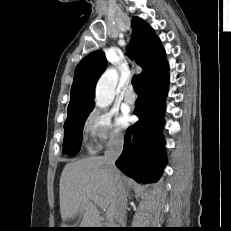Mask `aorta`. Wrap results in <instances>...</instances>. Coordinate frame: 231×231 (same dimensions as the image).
<instances>
[{
	"instance_id": "obj_1",
	"label": "aorta",
	"mask_w": 231,
	"mask_h": 231,
	"mask_svg": "<svg viewBox=\"0 0 231 231\" xmlns=\"http://www.w3.org/2000/svg\"><path fill=\"white\" fill-rule=\"evenodd\" d=\"M118 82V72L110 68L100 77L95 89V102L100 108L108 107L114 100L115 88Z\"/></svg>"
}]
</instances>
